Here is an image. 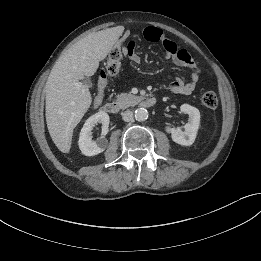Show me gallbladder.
Listing matches in <instances>:
<instances>
[{
	"mask_svg": "<svg viewBox=\"0 0 261 261\" xmlns=\"http://www.w3.org/2000/svg\"><path fill=\"white\" fill-rule=\"evenodd\" d=\"M82 83L88 87H90L92 85V82L91 80L88 78V77H85L83 80H82Z\"/></svg>",
	"mask_w": 261,
	"mask_h": 261,
	"instance_id": "obj_1",
	"label": "gallbladder"
}]
</instances>
